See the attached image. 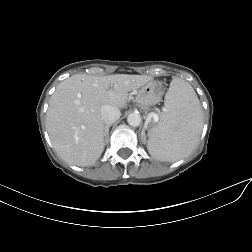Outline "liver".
Returning <instances> with one entry per match:
<instances>
[{"instance_id":"6515ba94","label":"liver","mask_w":252,"mask_h":252,"mask_svg":"<svg viewBox=\"0 0 252 252\" xmlns=\"http://www.w3.org/2000/svg\"><path fill=\"white\" fill-rule=\"evenodd\" d=\"M147 75H73L51 96L46 128L57 154L77 166L94 164L104 150L105 124L101 106L125 108L128 92L146 85Z\"/></svg>"}]
</instances>
